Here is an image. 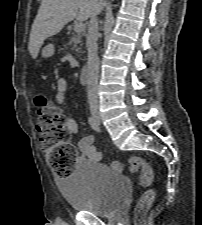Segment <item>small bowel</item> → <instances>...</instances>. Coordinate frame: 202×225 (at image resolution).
<instances>
[{
	"instance_id": "1",
	"label": "small bowel",
	"mask_w": 202,
	"mask_h": 225,
	"mask_svg": "<svg viewBox=\"0 0 202 225\" xmlns=\"http://www.w3.org/2000/svg\"><path fill=\"white\" fill-rule=\"evenodd\" d=\"M67 80L65 77H59L56 84L57 94L55 100L58 104L62 103L64 99V92L67 89ZM65 127L70 133H76L79 130L77 121L72 117L65 119ZM94 137L86 136L81 138L79 142V148L81 151V157L87 158L92 161H99L101 159V153L97 151L94 145Z\"/></svg>"
}]
</instances>
